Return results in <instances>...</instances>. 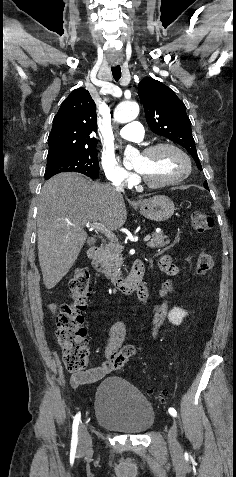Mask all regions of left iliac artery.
I'll return each mask as SVG.
<instances>
[{"label":"left iliac artery","mask_w":236,"mask_h":477,"mask_svg":"<svg viewBox=\"0 0 236 477\" xmlns=\"http://www.w3.org/2000/svg\"><path fill=\"white\" fill-rule=\"evenodd\" d=\"M168 411H169L170 414H173L175 417L177 416V412H176V410H175L174 408L170 407V408L168 409Z\"/></svg>","instance_id":"44dca946"}]
</instances>
